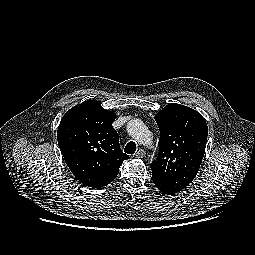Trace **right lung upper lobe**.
<instances>
[{"label": "right lung upper lobe", "mask_w": 255, "mask_h": 255, "mask_svg": "<svg viewBox=\"0 0 255 255\" xmlns=\"http://www.w3.org/2000/svg\"><path fill=\"white\" fill-rule=\"evenodd\" d=\"M116 114L105 110L96 100H87L65 113L57 131L61 153L82 184L102 188L118 175L129 156L119 146L112 127Z\"/></svg>", "instance_id": "1"}]
</instances>
